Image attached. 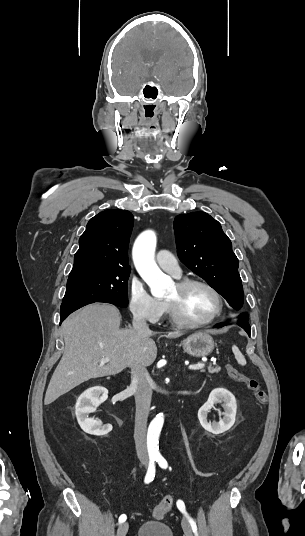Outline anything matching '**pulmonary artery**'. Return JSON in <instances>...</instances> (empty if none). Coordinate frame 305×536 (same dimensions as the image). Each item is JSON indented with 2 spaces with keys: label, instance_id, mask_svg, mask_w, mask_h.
<instances>
[{
  "label": "pulmonary artery",
  "instance_id": "1",
  "mask_svg": "<svg viewBox=\"0 0 305 536\" xmlns=\"http://www.w3.org/2000/svg\"><path fill=\"white\" fill-rule=\"evenodd\" d=\"M155 260L163 270L167 271L175 278L181 277L182 271L178 265L177 260L170 252L166 250L158 251L155 256Z\"/></svg>",
  "mask_w": 305,
  "mask_h": 536
}]
</instances>
